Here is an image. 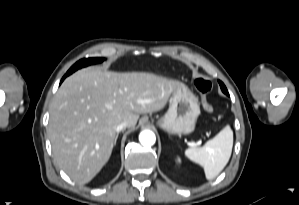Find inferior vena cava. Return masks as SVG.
Returning <instances> with one entry per match:
<instances>
[{
	"label": "inferior vena cava",
	"instance_id": "602c4592",
	"mask_svg": "<svg viewBox=\"0 0 299 205\" xmlns=\"http://www.w3.org/2000/svg\"><path fill=\"white\" fill-rule=\"evenodd\" d=\"M126 127H127V122H126V121H123V122H121L120 124H118V125L115 127V130H116L117 132H119V131L125 129Z\"/></svg>",
	"mask_w": 299,
	"mask_h": 205
}]
</instances>
